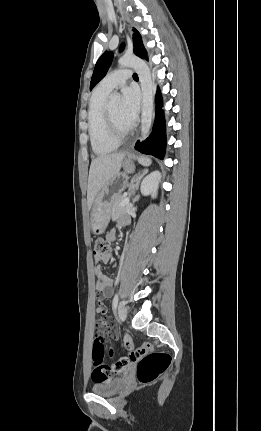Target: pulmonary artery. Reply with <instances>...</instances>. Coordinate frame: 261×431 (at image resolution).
<instances>
[{
	"label": "pulmonary artery",
	"mask_w": 261,
	"mask_h": 431,
	"mask_svg": "<svg viewBox=\"0 0 261 431\" xmlns=\"http://www.w3.org/2000/svg\"><path fill=\"white\" fill-rule=\"evenodd\" d=\"M131 77V71L128 69H119L109 73L98 84L97 89L104 92H111L113 89L122 86Z\"/></svg>",
	"instance_id": "e3ab8cb5"
}]
</instances>
